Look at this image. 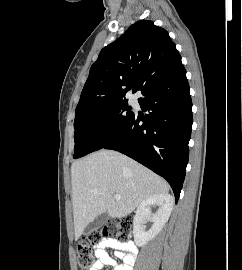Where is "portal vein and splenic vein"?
<instances>
[{
    "mask_svg": "<svg viewBox=\"0 0 242 270\" xmlns=\"http://www.w3.org/2000/svg\"><path fill=\"white\" fill-rule=\"evenodd\" d=\"M114 198H115L116 200H120V199H121V196H120L119 194H115V195H114Z\"/></svg>",
    "mask_w": 242,
    "mask_h": 270,
    "instance_id": "portal-vein-and-splenic-vein-1",
    "label": "portal vein and splenic vein"
}]
</instances>
